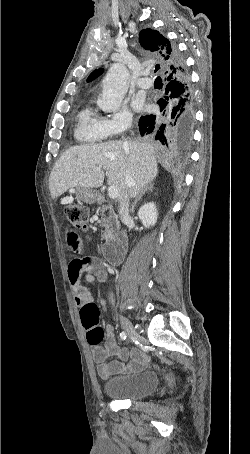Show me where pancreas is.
Listing matches in <instances>:
<instances>
[{
	"instance_id": "pancreas-1",
	"label": "pancreas",
	"mask_w": 250,
	"mask_h": 454,
	"mask_svg": "<svg viewBox=\"0 0 250 454\" xmlns=\"http://www.w3.org/2000/svg\"><path fill=\"white\" fill-rule=\"evenodd\" d=\"M110 207L103 206L100 209V212L102 213V221H103V226L105 227V230L102 232V239H105L106 241H109L114 237V232H115V224H117V216L112 213L110 210L108 216H104L103 213L107 211ZM111 209V208H110Z\"/></svg>"
}]
</instances>
